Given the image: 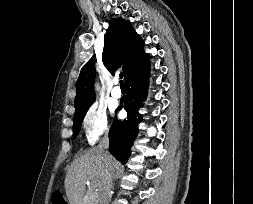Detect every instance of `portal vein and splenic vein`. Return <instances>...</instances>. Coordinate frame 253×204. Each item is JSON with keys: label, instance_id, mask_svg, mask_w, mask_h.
Wrapping results in <instances>:
<instances>
[{"label": "portal vein and splenic vein", "instance_id": "obj_1", "mask_svg": "<svg viewBox=\"0 0 253 204\" xmlns=\"http://www.w3.org/2000/svg\"><path fill=\"white\" fill-rule=\"evenodd\" d=\"M100 183L95 182V185L98 186Z\"/></svg>", "mask_w": 253, "mask_h": 204}]
</instances>
